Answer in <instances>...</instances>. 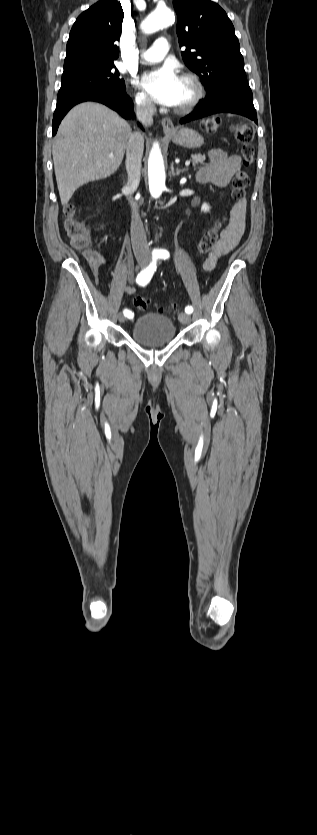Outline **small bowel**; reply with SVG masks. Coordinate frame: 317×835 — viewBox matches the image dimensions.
Segmentation results:
<instances>
[{
	"instance_id": "small-bowel-1",
	"label": "small bowel",
	"mask_w": 317,
	"mask_h": 835,
	"mask_svg": "<svg viewBox=\"0 0 317 835\" xmlns=\"http://www.w3.org/2000/svg\"><path fill=\"white\" fill-rule=\"evenodd\" d=\"M241 159L235 154H229L223 149H213L209 152V159L195 174L198 183H211L218 187L227 186L231 179L241 169ZM246 226V211L244 206L234 209L231 221L222 232L220 241L202 262L205 271L213 270L219 258L231 252L241 240ZM109 262L108 257L101 252H95L93 258H89V264L93 272H97L101 265ZM128 294H134L136 288L126 286Z\"/></svg>"
}]
</instances>
